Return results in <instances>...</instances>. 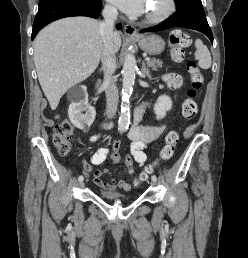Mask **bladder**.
<instances>
[{
  "mask_svg": "<svg viewBox=\"0 0 248 258\" xmlns=\"http://www.w3.org/2000/svg\"><path fill=\"white\" fill-rule=\"evenodd\" d=\"M101 195L104 198L110 199V200H123L127 199L128 196L125 194H122L120 192L112 191V190H105L101 192Z\"/></svg>",
  "mask_w": 248,
  "mask_h": 258,
  "instance_id": "1",
  "label": "bladder"
}]
</instances>
